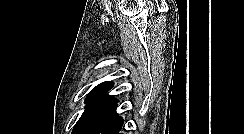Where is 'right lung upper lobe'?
<instances>
[{
    "label": "right lung upper lobe",
    "instance_id": "1",
    "mask_svg": "<svg viewBox=\"0 0 244 134\" xmlns=\"http://www.w3.org/2000/svg\"><path fill=\"white\" fill-rule=\"evenodd\" d=\"M112 87H113V82L100 83L88 94L85 103L89 104L94 102L116 100L115 98L106 94V92L109 91Z\"/></svg>",
    "mask_w": 244,
    "mask_h": 134
}]
</instances>
